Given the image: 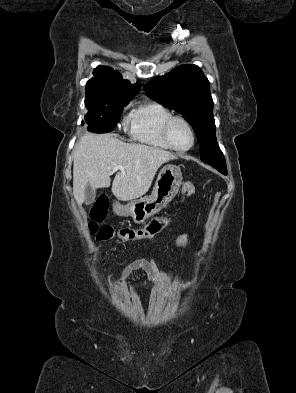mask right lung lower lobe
<instances>
[{
	"mask_svg": "<svg viewBox=\"0 0 296 393\" xmlns=\"http://www.w3.org/2000/svg\"><path fill=\"white\" fill-rule=\"evenodd\" d=\"M90 132H94V133H107V132H103V131H99V130H91Z\"/></svg>",
	"mask_w": 296,
	"mask_h": 393,
	"instance_id": "98d812e1",
	"label": "right lung lower lobe"
}]
</instances>
